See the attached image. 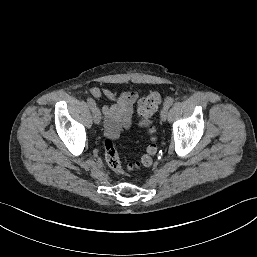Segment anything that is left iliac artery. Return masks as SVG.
Returning <instances> with one entry per match:
<instances>
[{
	"label": "left iliac artery",
	"instance_id": "left-iliac-artery-1",
	"mask_svg": "<svg viewBox=\"0 0 257 257\" xmlns=\"http://www.w3.org/2000/svg\"><path fill=\"white\" fill-rule=\"evenodd\" d=\"M173 102H174V98H172V97L167 98V99L165 100V102H164V106H166V107L169 108V107L173 104Z\"/></svg>",
	"mask_w": 257,
	"mask_h": 257
}]
</instances>
